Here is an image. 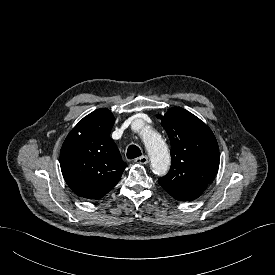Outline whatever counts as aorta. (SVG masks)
<instances>
[{"label":"aorta","instance_id":"1","mask_svg":"<svg viewBox=\"0 0 275 275\" xmlns=\"http://www.w3.org/2000/svg\"><path fill=\"white\" fill-rule=\"evenodd\" d=\"M141 136L150 159L152 170L157 175L165 174L170 166L168 147L154 130L143 126Z\"/></svg>","mask_w":275,"mask_h":275}]
</instances>
